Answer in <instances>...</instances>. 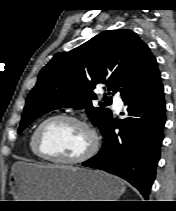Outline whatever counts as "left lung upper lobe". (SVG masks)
<instances>
[{
  "label": "left lung upper lobe",
  "mask_w": 176,
  "mask_h": 211,
  "mask_svg": "<svg viewBox=\"0 0 176 211\" xmlns=\"http://www.w3.org/2000/svg\"><path fill=\"white\" fill-rule=\"evenodd\" d=\"M160 76L149 47L130 30H108L69 51L56 54L40 71L29 93L18 133L41 115L62 106L85 108L102 135L112 121V113L94 107L96 84H106L108 95L121 97L145 87ZM108 105L112 99H103Z\"/></svg>",
  "instance_id": "left-lung-upper-lobe-1"
}]
</instances>
